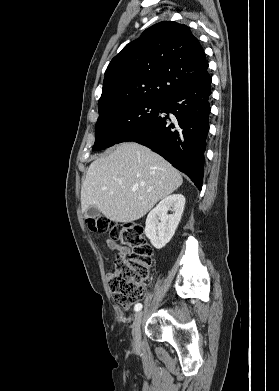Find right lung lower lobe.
<instances>
[{
    "label": "right lung lower lobe",
    "mask_w": 279,
    "mask_h": 391,
    "mask_svg": "<svg viewBox=\"0 0 279 391\" xmlns=\"http://www.w3.org/2000/svg\"><path fill=\"white\" fill-rule=\"evenodd\" d=\"M210 83L211 77L206 72L166 99L156 118L134 128L118 143L135 141L149 147L184 172L201 190L211 109Z\"/></svg>",
    "instance_id": "right-lung-lower-lobe-1"
}]
</instances>
